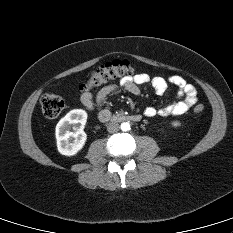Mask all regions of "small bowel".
<instances>
[{"label":"small bowel","mask_w":233,"mask_h":233,"mask_svg":"<svg viewBox=\"0 0 233 233\" xmlns=\"http://www.w3.org/2000/svg\"><path fill=\"white\" fill-rule=\"evenodd\" d=\"M169 84L174 85L177 88L180 100L174 101L160 109L148 106L145 108L144 114L148 117H153L156 115L162 117L182 115L195 105V103L198 101V94L195 87L187 83V81L179 75H172L168 78H164L160 76L150 77L146 73H139L132 77L128 76L123 78L118 85L110 84L101 88L96 94L95 98L91 93L84 92L80 96V102L86 109L93 110L95 105H103L107 97L114 93L119 87L132 93L133 95L141 96L140 86L151 85L157 94L162 95L167 90ZM110 115V110L105 108L100 110L98 113L100 120L102 116Z\"/></svg>","instance_id":"1"}]
</instances>
